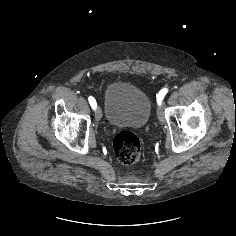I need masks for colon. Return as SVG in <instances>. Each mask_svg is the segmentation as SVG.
Masks as SVG:
<instances>
[{
    "label": "colon",
    "instance_id": "obj_1",
    "mask_svg": "<svg viewBox=\"0 0 236 236\" xmlns=\"http://www.w3.org/2000/svg\"><path fill=\"white\" fill-rule=\"evenodd\" d=\"M116 158L123 164L130 165L138 161L141 154V141L130 131L119 132L113 141Z\"/></svg>",
    "mask_w": 236,
    "mask_h": 236
}]
</instances>
